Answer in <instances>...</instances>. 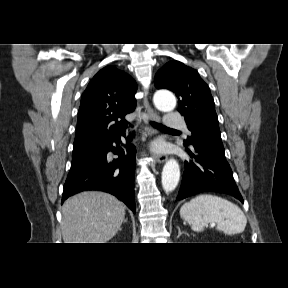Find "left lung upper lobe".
Instances as JSON below:
<instances>
[{
    "instance_id": "left-lung-upper-lobe-1",
    "label": "left lung upper lobe",
    "mask_w": 288,
    "mask_h": 288,
    "mask_svg": "<svg viewBox=\"0 0 288 288\" xmlns=\"http://www.w3.org/2000/svg\"><path fill=\"white\" fill-rule=\"evenodd\" d=\"M154 84L157 89L176 93L178 111L192 133L187 137L185 146L200 144L225 156L214 100L198 72L172 60L157 72Z\"/></svg>"
}]
</instances>
